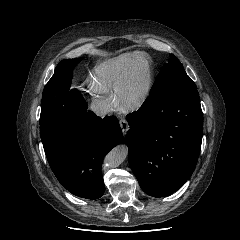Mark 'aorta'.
Segmentation results:
<instances>
[{
  "label": "aorta",
  "instance_id": "obj_1",
  "mask_svg": "<svg viewBox=\"0 0 240 240\" xmlns=\"http://www.w3.org/2000/svg\"><path fill=\"white\" fill-rule=\"evenodd\" d=\"M128 155V148L125 145H118L106 156V162L111 166L120 165Z\"/></svg>",
  "mask_w": 240,
  "mask_h": 240
}]
</instances>
